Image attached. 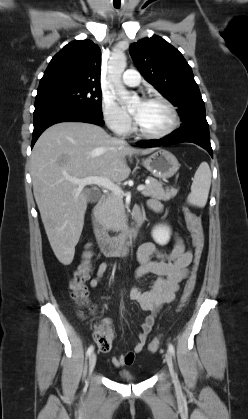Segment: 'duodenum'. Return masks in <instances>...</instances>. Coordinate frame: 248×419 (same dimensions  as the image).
Wrapping results in <instances>:
<instances>
[{
    "mask_svg": "<svg viewBox=\"0 0 248 419\" xmlns=\"http://www.w3.org/2000/svg\"><path fill=\"white\" fill-rule=\"evenodd\" d=\"M105 203L106 198L103 194L93 207L91 225L102 253L105 256H115L124 253L129 248L140 230L143 214L141 209L137 208L133 212L129 229L117 236H110L104 222Z\"/></svg>",
    "mask_w": 248,
    "mask_h": 419,
    "instance_id": "duodenum-1",
    "label": "duodenum"
}]
</instances>
